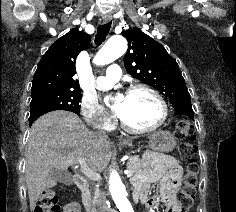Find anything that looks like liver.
Segmentation results:
<instances>
[{"label": "liver", "mask_w": 236, "mask_h": 212, "mask_svg": "<svg viewBox=\"0 0 236 212\" xmlns=\"http://www.w3.org/2000/svg\"><path fill=\"white\" fill-rule=\"evenodd\" d=\"M112 143L90 131L82 120L68 111H52L32 125L26 146L25 178L30 210L40 194L57 185L54 170L66 171L79 158L94 171H102L110 159Z\"/></svg>", "instance_id": "liver-1"}]
</instances>
